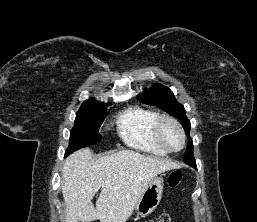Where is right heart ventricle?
Listing matches in <instances>:
<instances>
[{"label":"right heart ventricle","instance_id":"e07e8e85","mask_svg":"<svg viewBox=\"0 0 257 222\" xmlns=\"http://www.w3.org/2000/svg\"><path fill=\"white\" fill-rule=\"evenodd\" d=\"M159 114L145 107H131L118 118L119 133L131 147L164 156L167 152L159 145L154 136V126Z\"/></svg>","mask_w":257,"mask_h":222}]
</instances>
